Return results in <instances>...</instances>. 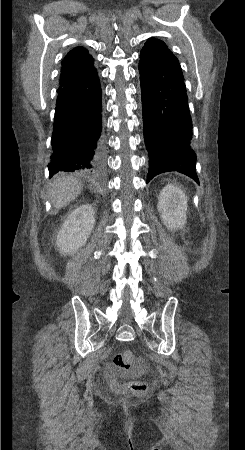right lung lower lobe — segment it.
Listing matches in <instances>:
<instances>
[{
  "mask_svg": "<svg viewBox=\"0 0 245 450\" xmlns=\"http://www.w3.org/2000/svg\"><path fill=\"white\" fill-rule=\"evenodd\" d=\"M100 81L93 67L58 90L50 177L59 171L99 175L105 168Z\"/></svg>",
  "mask_w": 245,
  "mask_h": 450,
  "instance_id": "right-lung-lower-lobe-1",
  "label": "right lung lower lobe"
}]
</instances>
